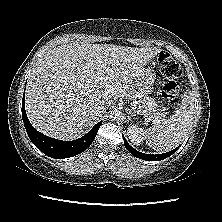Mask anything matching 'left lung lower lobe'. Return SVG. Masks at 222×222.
Returning <instances> with one entry per match:
<instances>
[{"label":"left lung lower lobe","instance_id":"0a47b994","mask_svg":"<svg viewBox=\"0 0 222 222\" xmlns=\"http://www.w3.org/2000/svg\"><path fill=\"white\" fill-rule=\"evenodd\" d=\"M124 139V144H125V147L127 148V150L135 157L137 158H140V159H143V160H148V161H159V160H163L169 156H171L177 149H174L170 152H167V153H163V154H153V155H150V154H145V153H141L137 150H135L133 147H131L129 145V143L126 141V139L123 137Z\"/></svg>","mask_w":222,"mask_h":222}]
</instances>
